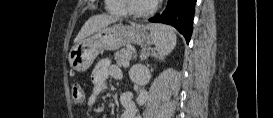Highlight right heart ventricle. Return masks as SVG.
Returning a JSON list of instances; mask_svg holds the SVG:
<instances>
[{
	"instance_id": "1",
	"label": "right heart ventricle",
	"mask_w": 273,
	"mask_h": 118,
	"mask_svg": "<svg viewBox=\"0 0 273 118\" xmlns=\"http://www.w3.org/2000/svg\"><path fill=\"white\" fill-rule=\"evenodd\" d=\"M108 12L112 14H126L125 0H108L106 3Z\"/></svg>"
}]
</instances>
